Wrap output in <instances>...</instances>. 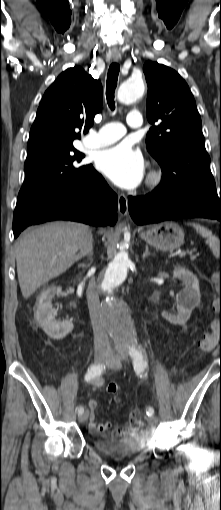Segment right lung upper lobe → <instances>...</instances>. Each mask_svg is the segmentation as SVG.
Wrapping results in <instances>:
<instances>
[{
  "instance_id": "right-lung-upper-lobe-1",
  "label": "right lung upper lobe",
  "mask_w": 221,
  "mask_h": 510,
  "mask_svg": "<svg viewBox=\"0 0 221 510\" xmlns=\"http://www.w3.org/2000/svg\"><path fill=\"white\" fill-rule=\"evenodd\" d=\"M102 85L75 66L61 73L45 92L31 127L27 152L67 148L94 123L102 107Z\"/></svg>"
}]
</instances>
